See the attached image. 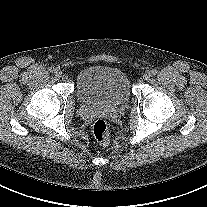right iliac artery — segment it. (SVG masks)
Wrapping results in <instances>:
<instances>
[{
	"mask_svg": "<svg viewBox=\"0 0 207 207\" xmlns=\"http://www.w3.org/2000/svg\"><path fill=\"white\" fill-rule=\"evenodd\" d=\"M49 71H50V72H54V71H55L54 67H50V68H49Z\"/></svg>",
	"mask_w": 207,
	"mask_h": 207,
	"instance_id": "right-iliac-artery-1",
	"label": "right iliac artery"
}]
</instances>
